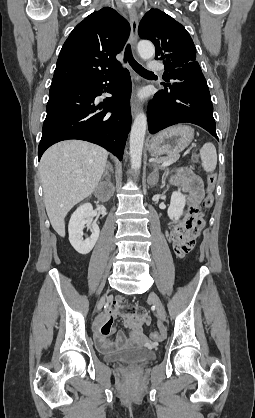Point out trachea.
<instances>
[{
  "instance_id": "obj_1",
  "label": "trachea",
  "mask_w": 255,
  "mask_h": 418,
  "mask_svg": "<svg viewBox=\"0 0 255 418\" xmlns=\"http://www.w3.org/2000/svg\"><path fill=\"white\" fill-rule=\"evenodd\" d=\"M129 61L131 67L140 75H151L153 72L146 70L142 67L132 56L130 45L128 44L124 53V62Z\"/></svg>"
}]
</instances>
